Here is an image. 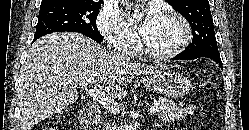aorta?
I'll list each match as a JSON object with an SVG mask.
<instances>
[{
	"label": "aorta",
	"instance_id": "762f6f07",
	"mask_svg": "<svg viewBox=\"0 0 249 130\" xmlns=\"http://www.w3.org/2000/svg\"><path fill=\"white\" fill-rule=\"evenodd\" d=\"M123 5H126V8H129L127 1H122Z\"/></svg>",
	"mask_w": 249,
	"mask_h": 130
}]
</instances>
